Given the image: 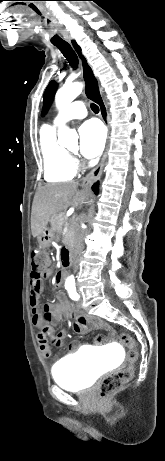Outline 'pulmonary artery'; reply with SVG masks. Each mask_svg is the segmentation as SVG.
<instances>
[{
	"label": "pulmonary artery",
	"instance_id": "1",
	"mask_svg": "<svg viewBox=\"0 0 165 461\" xmlns=\"http://www.w3.org/2000/svg\"><path fill=\"white\" fill-rule=\"evenodd\" d=\"M86 113L85 104L82 101H74L58 113L54 119V124L59 126L71 119H82Z\"/></svg>",
	"mask_w": 165,
	"mask_h": 461
}]
</instances>
